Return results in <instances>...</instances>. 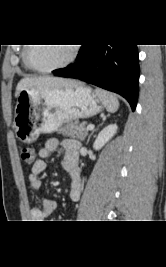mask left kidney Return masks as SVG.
I'll return each mask as SVG.
<instances>
[{"mask_svg": "<svg viewBox=\"0 0 166 267\" xmlns=\"http://www.w3.org/2000/svg\"><path fill=\"white\" fill-rule=\"evenodd\" d=\"M117 125L110 124L106 126L97 136L93 148L95 150H100L117 132Z\"/></svg>", "mask_w": 166, "mask_h": 267, "instance_id": "left-kidney-1", "label": "left kidney"}]
</instances>
